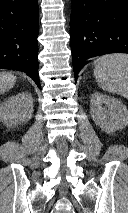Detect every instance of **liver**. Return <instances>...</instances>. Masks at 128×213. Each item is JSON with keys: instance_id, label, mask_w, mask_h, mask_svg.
I'll return each mask as SVG.
<instances>
[{"instance_id": "1", "label": "liver", "mask_w": 128, "mask_h": 213, "mask_svg": "<svg viewBox=\"0 0 128 213\" xmlns=\"http://www.w3.org/2000/svg\"><path fill=\"white\" fill-rule=\"evenodd\" d=\"M16 76L11 72L0 71V94H3L14 87Z\"/></svg>"}]
</instances>
